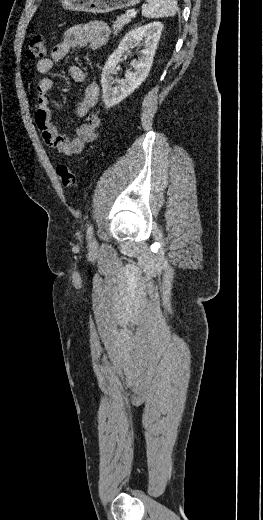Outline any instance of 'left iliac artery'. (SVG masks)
Instances as JSON below:
<instances>
[{
	"label": "left iliac artery",
	"mask_w": 263,
	"mask_h": 520,
	"mask_svg": "<svg viewBox=\"0 0 263 520\" xmlns=\"http://www.w3.org/2000/svg\"><path fill=\"white\" fill-rule=\"evenodd\" d=\"M92 234H93V226L89 225L88 228H87V238L91 239Z\"/></svg>",
	"instance_id": "left-iliac-artery-1"
}]
</instances>
